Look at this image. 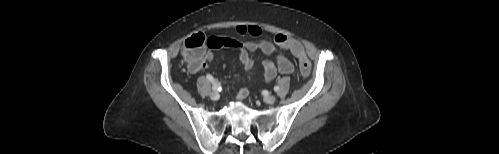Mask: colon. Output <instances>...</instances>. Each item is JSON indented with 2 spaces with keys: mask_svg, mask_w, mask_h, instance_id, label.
I'll return each mask as SVG.
<instances>
[{
  "mask_svg": "<svg viewBox=\"0 0 499 154\" xmlns=\"http://www.w3.org/2000/svg\"><path fill=\"white\" fill-rule=\"evenodd\" d=\"M277 45L290 51L298 60L299 71L306 77L311 72V63L308 60L302 44L293 37L286 34H277L274 37ZM208 41L202 33L191 35L183 44L182 59L189 67H198L204 61L206 56V47Z\"/></svg>",
  "mask_w": 499,
  "mask_h": 154,
  "instance_id": "obj_1",
  "label": "colon"
}]
</instances>
